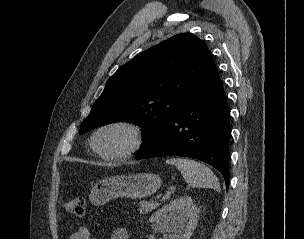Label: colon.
I'll return each mask as SVG.
<instances>
[{"instance_id":"obj_1","label":"colon","mask_w":304,"mask_h":239,"mask_svg":"<svg viewBox=\"0 0 304 239\" xmlns=\"http://www.w3.org/2000/svg\"><path fill=\"white\" fill-rule=\"evenodd\" d=\"M66 211L75 216V217H82L85 213V199L82 196H75L70 198L65 203Z\"/></svg>"}]
</instances>
